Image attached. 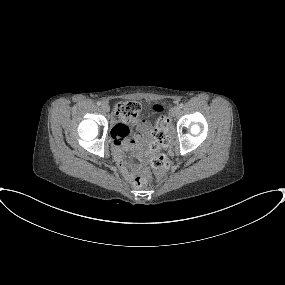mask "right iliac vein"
Segmentation results:
<instances>
[{"label":"right iliac vein","instance_id":"obj_1","mask_svg":"<svg viewBox=\"0 0 285 285\" xmlns=\"http://www.w3.org/2000/svg\"><path fill=\"white\" fill-rule=\"evenodd\" d=\"M101 109L104 111V112H109L110 110V107L108 104L104 103L101 105Z\"/></svg>","mask_w":285,"mask_h":285}]
</instances>
